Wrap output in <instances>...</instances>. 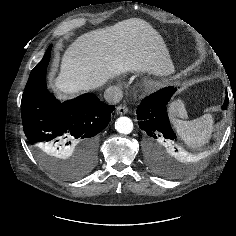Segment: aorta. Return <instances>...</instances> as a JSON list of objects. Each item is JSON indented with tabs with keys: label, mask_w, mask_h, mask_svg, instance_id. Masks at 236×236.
Segmentation results:
<instances>
[{
	"label": "aorta",
	"mask_w": 236,
	"mask_h": 236,
	"mask_svg": "<svg viewBox=\"0 0 236 236\" xmlns=\"http://www.w3.org/2000/svg\"><path fill=\"white\" fill-rule=\"evenodd\" d=\"M115 129L121 134H130L133 130V122L128 117H119L115 122Z\"/></svg>",
	"instance_id": "762f6f07"
}]
</instances>
